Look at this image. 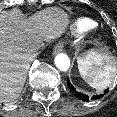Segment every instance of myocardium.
<instances>
[{
    "instance_id": "myocardium-1",
    "label": "myocardium",
    "mask_w": 117,
    "mask_h": 117,
    "mask_svg": "<svg viewBox=\"0 0 117 117\" xmlns=\"http://www.w3.org/2000/svg\"><path fill=\"white\" fill-rule=\"evenodd\" d=\"M102 39V35L98 32L96 28L90 30L89 40L92 43H98Z\"/></svg>"
}]
</instances>
